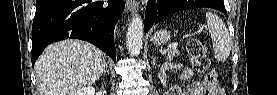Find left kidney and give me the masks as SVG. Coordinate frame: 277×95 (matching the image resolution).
I'll list each match as a JSON object with an SVG mask.
<instances>
[{
	"mask_svg": "<svg viewBox=\"0 0 277 95\" xmlns=\"http://www.w3.org/2000/svg\"><path fill=\"white\" fill-rule=\"evenodd\" d=\"M165 71H166V68L162 67L159 72V79H160L161 84H163V86H166V83H167V77H166Z\"/></svg>",
	"mask_w": 277,
	"mask_h": 95,
	"instance_id": "obj_1",
	"label": "left kidney"
}]
</instances>
